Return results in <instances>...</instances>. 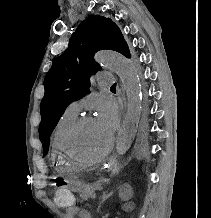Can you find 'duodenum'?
<instances>
[{"label":"duodenum","mask_w":211,"mask_h":218,"mask_svg":"<svg viewBox=\"0 0 211 218\" xmlns=\"http://www.w3.org/2000/svg\"><path fill=\"white\" fill-rule=\"evenodd\" d=\"M80 218H91V215L87 210H81Z\"/></svg>","instance_id":"1"}]
</instances>
